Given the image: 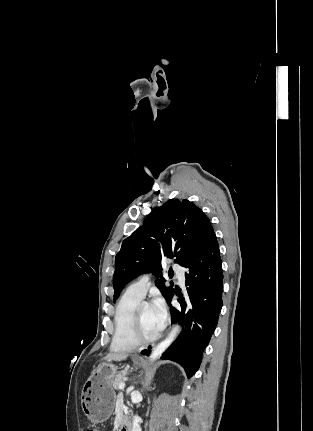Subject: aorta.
<instances>
[{"instance_id": "762f6f07", "label": "aorta", "mask_w": 313, "mask_h": 431, "mask_svg": "<svg viewBox=\"0 0 313 431\" xmlns=\"http://www.w3.org/2000/svg\"><path fill=\"white\" fill-rule=\"evenodd\" d=\"M180 331V328L178 325L174 326L170 333L167 335V337L160 342L153 350L150 355V360L153 362L157 358H159L162 353L173 343V341L176 339ZM131 431H142L140 426V417L135 415L132 422V430Z\"/></svg>"}]
</instances>
